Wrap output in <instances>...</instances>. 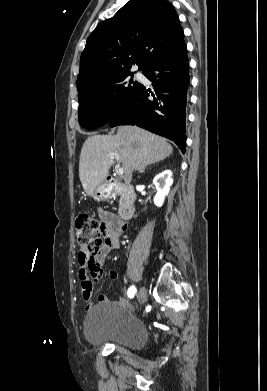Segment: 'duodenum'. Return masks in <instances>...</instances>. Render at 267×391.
Wrapping results in <instances>:
<instances>
[{
	"instance_id": "duodenum-1",
	"label": "duodenum",
	"mask_w": 267,
	"mask_h": 391,
	"mask_svg": "<svg viewBox=\"0 0 267 391\" xmlns=\"http://www.w3.org/2000/svg\"><path fill=\"white\" fill-rule=\"evenodd\" d=\"M108 186L113 193L122 196V204L119 210V216L122 220H129L135 212L136 194L134 190L125 184L119 183L113 177H108Z\"/></svg>"
}]
</instances>
